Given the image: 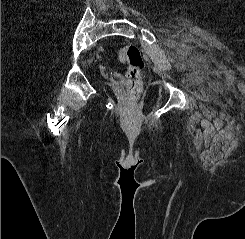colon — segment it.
<instances>
[{
	"mask_svg": "<svg viewBox=\"0 0 245 239\" xmlns=\"http://www.w3.org/2000/svg\"><path fill=\"white\" fill-rule=\"evenodd\" d=\"M119 60L126 65L127 93L131 99H136L142 87L144 60L140 49L130 44L120 49Z\"/></svg>",
	"mask_w": 245,
	"mask_h": 239,
	"instance_id": "1",
	"label": "colon"
}]
</instances>
